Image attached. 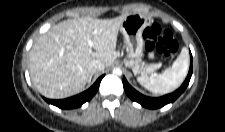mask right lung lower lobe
I'll return each instance as SVG.
<instances>
[{
    "mask_svg": "<svg viewBox=\"0 0 225 132\" xmlns=\"http://www.w3.org/2000/svg\"><path fill=\"white\" fill-rule=\"evenodd\" d=\"M102 78L103 76L99 77L97 81L93 84V86H91L88 90L76 96L63 100H50V99L45 100L48 103L55 105L61 109H72L80 107L83 103L89 101L96 94Z\"/></svg>",
    "mask_w": 225,
    "mask_h": 132,
    "instance_id": "1",
    "label": "right lung lower lobe"
}]
</instances>
